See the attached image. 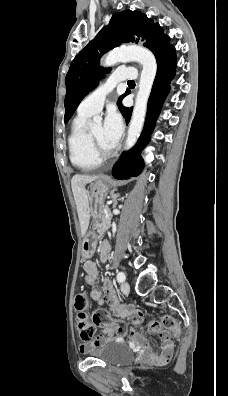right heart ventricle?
Returning a JSON list of instances; mask_svg holds the SVG:
<instances>
[{
  "mask_svg": "<svg viewBox=\"0 0 228 396\" xmlns=\"http://www.w3.org/2000/svg\"><path fill=\"white\" fill-rule=\"evenodd\" d=\"M90 115L78 113L74 119L68 137L71 162L83 171L96 169L101 161L95 156L86 123Z\"/></svg>",
  "mask_w": 228,
  "mask_h": 396,
  "instance_id": "e07e8e85",
  "label": "right heart ventricle"
}]
</instances>
